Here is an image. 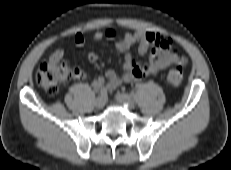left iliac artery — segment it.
I'll use <instances>...</instances> for the list:
<instances>
[{"label":"left iliac artery","mask_w":231,"mask_h":170,"mask_svg":"<svg viewBox=\"0 0 231 170\" xmlns=\"http://www.w3.org/2000/svg\"><path fill=\"white\" fill-rule=\"evenodd\" d=\"M141 86H142L141 83H137V84H136V87H137V88H140Z\"/></svg>","instance_id":"1"}]
</instances>
